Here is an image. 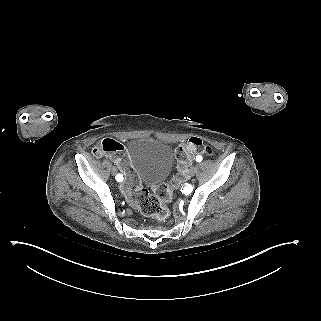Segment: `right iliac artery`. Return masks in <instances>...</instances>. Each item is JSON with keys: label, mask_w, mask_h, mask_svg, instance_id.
<instances>
[{"label": "right iliac artery", "mask_w": 321, "mask_h": 321, "mask_svg": "<svg viewBox=\"0 0 321 321\" xmlns=\"http://www.w3.org/2000/svg\"><path fill=\"white\" fill-rule=\"evenodd\" d=\"M116 180H117L118 182H120V181L123 180V177H122L120 174H117V175H116Z\"/></svg>", "instance_id": "right-iliac-artery-1"}]
</instances>
